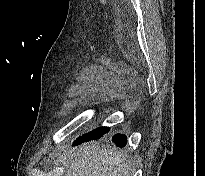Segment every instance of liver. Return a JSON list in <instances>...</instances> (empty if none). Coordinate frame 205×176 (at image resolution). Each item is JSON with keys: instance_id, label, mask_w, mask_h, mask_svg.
Segmentation results:
<instances>
[{"instance_id": "liver-1", "label": "liver", "mask_w": 205, "mask_h": 176, "mask_svg": "<svg viewBox=\"0 0 205 176\" xmlns=\"http://www.w3.org/2000/svg\"><path fill=\"white\" fill-rule=\"evenodd\" d=\"M69 156L65 176H126L129 169L121 152L101 148L97 143L74 148Z\"/></svg>"}]
</instances>
